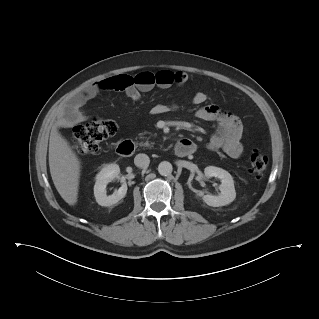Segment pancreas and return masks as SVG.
Returning a JSON list of instances; mask_svg holds the SVG:
<instances>
[{
    "label": "pancreas",
    "mask_w": 319,
    "mask_h": 319,
    "mask_svg": "<svg viewBox=\"0 0 319 319\" xmlns=\"http://www.w3.org/2000/svg\"><path fill=\"white\" fill-rule=\"evenodd\" d=\"M140 146H144V147H152L151 143H149V141H146L145 143H139Z\"/></svg>",
    "instance_id": "1"
}]
</instances>
